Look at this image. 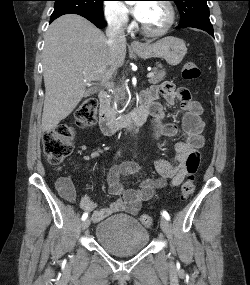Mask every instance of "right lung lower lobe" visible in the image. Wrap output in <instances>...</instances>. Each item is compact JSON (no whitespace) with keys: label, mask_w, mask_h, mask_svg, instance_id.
Listing matches in <instances>:
<instances>
[{"label":"right lung lower lobe","mask_w":250,"mask_h":285,"mask_svg":"<svg viewBox=\"0 0 250 285\" xmlns=\"http://www.w3.org/2000/svg\"><path fill=\"white\" fill-rule=\"evenodd\" d=\"M86 19H88L89 21H91L94 25H96L98 28H104L106 27V22L104 21V19H99V18H95V17H90V16H83ZM53 21V19H50V23Z\"/></svg>","instance_id":"right-lung-lower-lobe-1"}]
</instances>
